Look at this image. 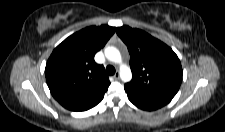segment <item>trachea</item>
I'll return each mask as SVG.
<instances>
[{"label": "trachea", "mask_w": 225, "mask_h": 132, "mask_svg": "<svg viewBox=\"0 0 225 132\" xmlns=\"http://www.w3.org/2000/svg\"><path fill=\"white\" fill-rule=\"evenodd\" d=\"M106 73L108 75H114L115 74V68L113 66H111V65L107 66L106 67Z\"/></svg>", "instance_id": "trachea-1"}]
</instances>
